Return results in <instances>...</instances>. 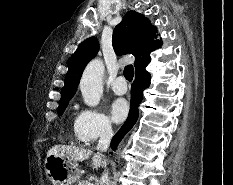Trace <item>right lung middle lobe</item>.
I'll use <instances>...</instances> for the list:
<instances>
[{
  "label": "right lung middle lobe",
  "instance_id": "obj_1",
  "mask_svg": "<svg viewBox=\"0 0 233 185\" xmlns=\"http://www.w3.org/2000/svg\"><path fill=\"white\" fill-rule=\"evenodd\" d=\"M69 101H63V102H60L59 104V107H58V115H62L65 108L67 107Z\"/></svg>",
  "mask_w": 233,
  "mask_h": 185
}]
</instances>
